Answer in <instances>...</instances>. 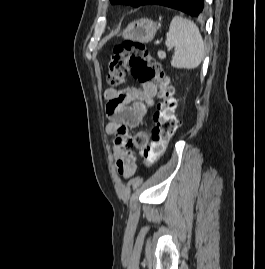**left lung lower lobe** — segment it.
Listing matches in <instances>:
<instances>
[{
  "label": "left lung lower lobe",
  "instance_id": "0a47b994",
  "mask_svg": "<svg viewBox=\"0 0 265 269\" xmlns=\"http://www.w3.org/2000/svg\"><path fill=\"white\" fill-rule=\"evenodd\" d=\"M149 4L174 8L194 18L201 17L205 13L204 0H145L141 5Z\"/></svg>",
  "mask_w": 265,
  "mask_h": 269
}]
</instances>
